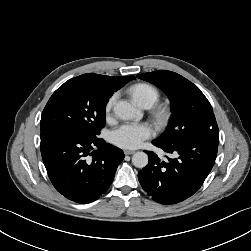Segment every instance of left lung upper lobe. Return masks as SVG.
<instances>
[{
    "instance_id": "left-lung-upper-lobe-1",
    "label": "left lung upper lobe",
    "mask_w": 251,
    "mask_h": 251,
    "mask_svg": "<svg viewBox=\"0 0 251 251\" xmlns=\"http://www.w3.org/2000/svg\"><path fill=\"white\" fill-rule=\"evenodd\" d=\"M137 77L164 91L172 104L173 117L170 125L155 140L171 145L196 137L219 138L213 109L205 95L192 82L175 72L165 70L143 73Z\"/></svg>"
}]
</instances>
